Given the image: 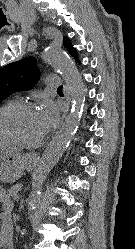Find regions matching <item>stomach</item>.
I'll return each mask as SVG.
<instances>
[{"instance_id": "1", "label": "stomach", "mask_w": 135, "mask_h": 249, "mask_svg": "<svg viewBox=\"0 0 135 249\" xmlns=\"http://www.w3.org/2000/svg\"><path fill=\"white\" fill-rule=\"evenodd\" d=\"M36 155H20L19 152L10 149H0V181L14 182L24 173V170H32L36 165Z\"/></svg>"}]
</instances>
